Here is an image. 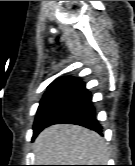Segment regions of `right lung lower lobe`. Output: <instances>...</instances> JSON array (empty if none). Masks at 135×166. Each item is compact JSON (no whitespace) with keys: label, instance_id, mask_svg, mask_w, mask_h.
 Listing matches in <instances>:
<instances>
[{"label":"right lung lower lobe","instance_id":"obj_1","mask_svg":"<svg viewBox=\"0 0 135 166\" xmlns=\"http://www.w3.org/2000/svg\"><path fill=\"white\" fill-rule=\"evenodd\" d=\"M68 89L73 95L69 107L46 127L53 124L69 123L84 126L101 134L102 127L96 119L95 108L91 101V94L85 88L84 82L75 83L69 86Z\"/></svg>","mask_w":135,"mask_h":166}]
</instances>
